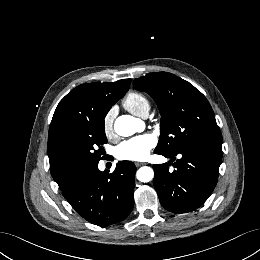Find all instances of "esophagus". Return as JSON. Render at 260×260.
Masks as SVG:
<instances>
[{
    "label": "esophagus",
    "instance_id": "obj_1",
    "mask_svg": "<svg viewBox=\"0 0 260 260\" xmlns=\"http://www.w3.org/2000/svg\"><path fill=\"white\" fill-rule=\"evenodd\" d=\"M144 163H142V162H135V165H136V167H140L141 165H143Z\"/></svg>",
    "mask_w": 260,
    "mask_h": 260
}]
</instances>
